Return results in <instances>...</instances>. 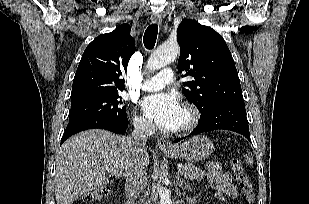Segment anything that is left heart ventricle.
<instances>
[{"mask_svg":"<svg viewBox=\"0 0 309 204\" xmlns=\"http://www.w3.org/2000/svg\"><path fill=\"white\" fill-rule=\"evenodd\" d=\"M187 119H188V115L184 111V109H182L181 115H180L179 120H178L177 128L184 125L186 123Z\"/></svg>","mask_w":309,"mask_h":204,"instance_id":"obj_1","label":"left heart ventricle"}]
</instances>
